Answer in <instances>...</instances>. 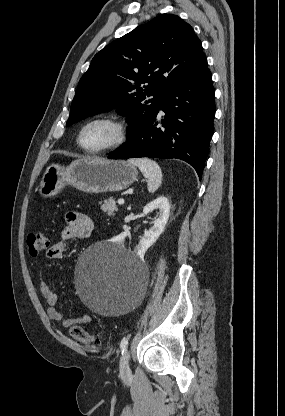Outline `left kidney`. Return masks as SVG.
Wrapping results in <instances>:
<instances>
[{"instance_id":"1","label":"left kidney","mask_w":285,"mask_h":416,"mask_svg":"<svg viewBox=\"0 0 285 416\" xmlns=\"http://www.w3.org/2000/svg\"><path fill=\"white\" fill-rule=\"evenodd\" d=\"M153 210H159V216L157 220H154V226H152L148 232H144L143 238H140V242L137 248H135V252H137L138 256H144L148 248L153 246L160 234H162L170 216V204L168 198H157V200H153V202H150V204H147V206L143 208V214H150Z\"/></svg>"}]
</instances>
